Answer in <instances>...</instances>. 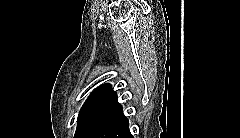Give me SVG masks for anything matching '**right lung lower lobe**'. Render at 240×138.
<instances>
[{"label":"right lung lower lobe","instance_id":"obj_1","mask_svg":"<svg viewBox=\"0 0 240 138\" xmlns=\"http://www.w3.org/2000/svg\"><path fill=\"white\" fill-rule=\"evenodd\" d=\"M87 138H133V136L129 130L128 119L120 110L95 127Z\"/></svg>","mask_w":240,"mask_h":138}]
</instances>
